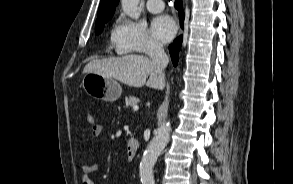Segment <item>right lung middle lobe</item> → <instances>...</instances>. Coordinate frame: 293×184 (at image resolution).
<instances>
[{
	"label": "right lung middle lobe",
	"mask_w": 293,
	"mask_h": 184,
	"mask_svg": "<svg viewBox=\"0 0 293 184\" xmlns=\"http://www.w3.org/2000/svg\"><path fill=\"white\" fill-rule=\"evenodd\" d=\"M104 24L95 27V34H100L103 30Z\"/></svg>",
	"instance_id": "right-lung-middle-lobe-1"
}]
</instances>
